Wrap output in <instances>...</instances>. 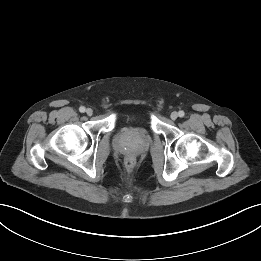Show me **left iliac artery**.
<instances>
[{
  "label": "left iliac artery",
  "mask_w": 261,
  "mask_h": 261,
  "mask_svg": "<svg viewBox=\"0 0 261 261\" xmlns=\"http://www.w3.org/2000/svg\"><path fill=\"white\" fill-rule=\"evenodd\" d=\"M178 115H179V117H184L185 113H184V111L181 110L178 112Z\"/></svg>",
  "instance_id": "44dca946"
}]
</instances>
